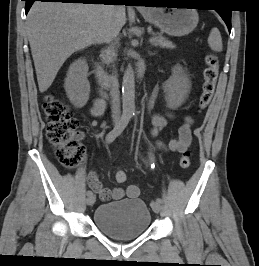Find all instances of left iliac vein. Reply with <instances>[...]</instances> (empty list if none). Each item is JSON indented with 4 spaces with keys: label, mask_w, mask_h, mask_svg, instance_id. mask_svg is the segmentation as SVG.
<instances>
[{
    "label": "left iliac vein",
    "mask_w": 259,
    "mask_h": 266,
    "mask_svg": "<svg viewBox=\"0 0 259 266\" xmlns=\"http://www.w3.org/2000/svg\"><path fill=\"white\" fill-rule=\"evenodd\" d=\"M151 207H152V209H153V211L155 212V213H160V211H161V204L160 203H158V202H152L151 203Z\"/></svg>",
    "instance_id": "4c4485c4"
}]
</instances>
